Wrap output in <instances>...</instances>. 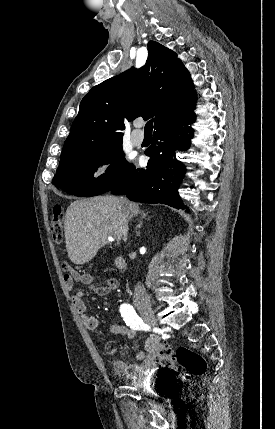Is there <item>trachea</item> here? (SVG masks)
I'll list each match as a JSON object with an SVG mask.
<instances>
[{
    "instance_id": "3493384b",
    "label": "trachea",
    "mask_w": 275,
    "mask_h": 429,
    "mask_svg": "<svg viewBox=\"0 0 275 429\" xmlns=\"http://www.w3.org/2000/svg\"><path fill=\"white\" fill-rule=\"evenodd\" d=\"M152 128H153V119L149 120L144 128L145 133H152Z\"/></svg>"
}]
</instances>
